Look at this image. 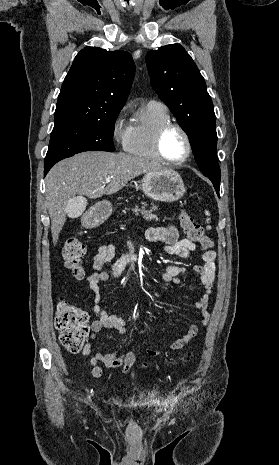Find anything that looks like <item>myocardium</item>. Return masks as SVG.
<instances>
[{
    "instance_id": "obj_1",
    "label": "myocardium",
    "mask_w": 279,
    "mask_h": 465,
    "mask_svg": "<svg viewBox=\"0 0 279 465\" xmlns=\"http://www.w3.org/2000/svg\"><path fill=\"white\" fill-rule=\"evenodd\" d=\"M170 129H177L178 131H180L181 134L183 135V137L185 139V142H186V145H187V150H186L185 156L183 158L179 159V160H171V159L167 158L165 156L164 152H163V149H162L163 138H164L165 134ZM154 148H155V151H156L157 155L161 159V161H163V162H165L167 164H170V165H181V164L185 163L186 161H188V159L190 158V156L192 154V142H191V138H190L188 132L185 130V128L183 126H181L178 123H174V122L166 123V124L162 125L158 129V131L156 132V135H155V139H154Z\"/></svg>"
}]
</instances>
